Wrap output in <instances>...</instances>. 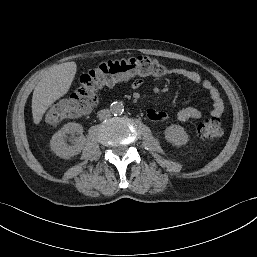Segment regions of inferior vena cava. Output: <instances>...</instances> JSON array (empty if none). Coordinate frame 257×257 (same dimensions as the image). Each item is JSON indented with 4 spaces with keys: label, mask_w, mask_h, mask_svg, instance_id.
Segmentation results:
<instances>
[{
    "label": "inferior vena cava",
    "mask_w": 257,
    "mask_h": 257,
    "mask_svg": "<svg viewBox=\"0 0 257 257\" xmlns=\"http://www.w3.org/2000/svg\"><path fill=\"white\" fill-rule=\"evenodd\" d=\"M110 115H111V112L109 109H103L98 112V117L100 120L107 119L110 117Z\"/></svg>",
    "instance_id": "1"
}]
</instances>
